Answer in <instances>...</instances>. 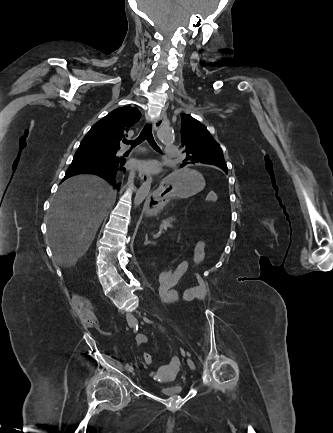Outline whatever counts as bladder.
Listing matches in <instances>:
<instances>
[{
	"instance_id": "bladder-1",
	"label": "bladder",
	"mask_w": 333,
	"mask_h": 433,
	"mask_svg": "<svg viewBox=\"0 0 333 433\" xmlns=\"http://www.w3.org/2000/svg\"><path fill=\"white\" fill-rule=\"evenodd\" d=\"M183 392V387L179 384L164 386L159 390V393L164 397H177Z\"/></svg>"
}]
</instances>
